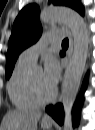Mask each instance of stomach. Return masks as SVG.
<instances>
[{
	"label": "stomach",
	"instance_id": "0dacf381",
	"mask_svg": "<svg viewBox=\"0 0 95 130\" xmlns=\"http://www.w3.org/2000/svg\"><path fill=\"white\" fill-rule=\"evenodd\" d=\"M51 126H52L51 123H48V124L42 123L41 124V127L43 128V130H50Z\"/></svg>",
	"mask_w": 95,
	"mask_h": 130
}]
</instances>
